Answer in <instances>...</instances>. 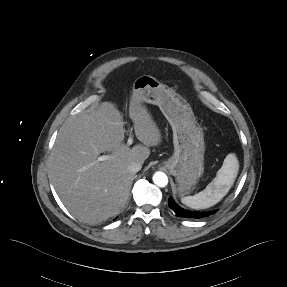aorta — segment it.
I'll list each match as a JSON object with an SVG mask.
<instances>
[{
	"label": "aorta",
	"instance_id": "762f6f07",
	"mask_svg": "<svg viewBox=\"0 0 287 287\" xmlns=\"http://www.w3.org/2000/svg\"><path fill=\"white\" fill-rule=\"evenodd\" d=\"M153 182L158 187H166L168 184V177L164 172L158 171L153 175Z\"/></svg>",
	"mask_w": 287,
	"mask_h": 287
}]
</instances>
